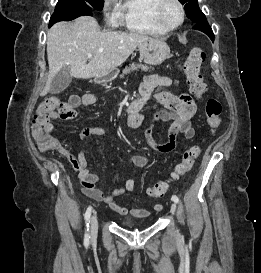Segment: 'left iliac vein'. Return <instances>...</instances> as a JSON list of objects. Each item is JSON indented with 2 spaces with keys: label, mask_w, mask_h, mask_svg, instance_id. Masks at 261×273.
Returning <instances> with one entry per match:
<instances>
[{
  "label": "left iliac vein",
  "mask_w": 261,
  "mask_h": 273,
  "mask_svg": "<svg viewBox=\"0 0 261 273\" xmlns=\"http://www.w3.org/2000/svg\"><path fill=\"white\" fill-rule=\"evenodd\" d=\"M170 209H171L172 214L174 215L176 213V204L172 203Z\"/></svg>",
  "instance_id": "left-iliac-vein-1"
}]
</instances>
